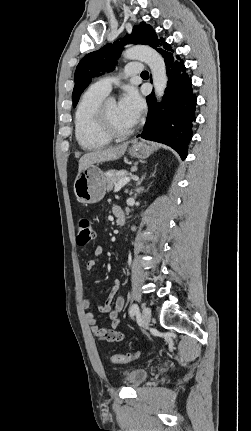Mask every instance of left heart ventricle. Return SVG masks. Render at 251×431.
Wrapping results in <instances>:
<instances>
[{"mask_svg": "<svg viewBox=\"0 0 251 431\" xmlns=\"http://www.w3.org/2000/svg\"><path fill=\"white\" fill-rule=\"evenodd\" d=\"M108 114L113 126L119 130H126L134 124L120 109L119 104L115 101L108 103Z\"/></svg>", "mask_w": 251, "mask_h": 431, "instance_id": "left-heart-ventricle-1", "label": "left heart ventricle"}]
</instances>
